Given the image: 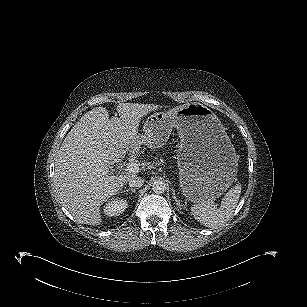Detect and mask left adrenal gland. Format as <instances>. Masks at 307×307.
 <instances>
[{
	"instance_id": "1",
	"label": "left adrenal gland",
	"mask_w": 307,
	"mask_h": 307,
	"mask_svg": "<svg viewBox=\"0 0 307 307\" xmlns=\"http://www.w3.org/2000/svg\"><path fill=\"white\" fill-rule=\"evenodd\" d=\"M172 191H173V198H174V200H175V202H176V205H177L179 208H181V204H180V201L177 199L175 190L172 189Z\"/></svg>"
}]
</instances>
